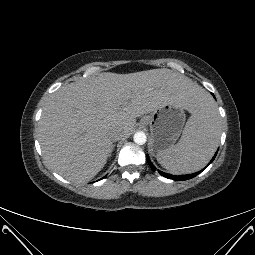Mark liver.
<instances>
[{"mask_svg": "<svg viewBox=\"0 0 255 255\" xmlns=\"http://www.w3.org/2000/svg\"><path fill=\"white\" fill-rule=\"evenodd\" d=\"M202 96L208 94L200 86L166 68L104 72L62 86L46 102L39 121L44 159L70 181H89L113 150L111 132L129 137L136 117L169 102L194 112Z\"/></svg>", "mask_w": 255, "mask_h": 255, "instance_id": "6515ba94", "label": "liver"}]
</instances>
